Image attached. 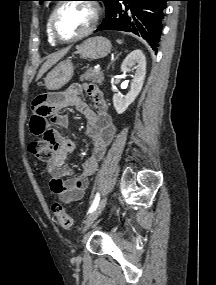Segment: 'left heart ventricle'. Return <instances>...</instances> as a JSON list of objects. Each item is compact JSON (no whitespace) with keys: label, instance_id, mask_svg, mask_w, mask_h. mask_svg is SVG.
Listing matches in <instances>:
<instances>
[{"label":"left heart ventricle","instance_id":"1","mask_svg":"<svg viewBox=\"0 0 216 285\" xmlns=\"http://www.w3.org/2000/svg\"><path fill=\"white\" fill-rule=\"evenodd\" d=\"M93 20V10L85 3H69L58 13L56 31L63 38H70L84 32Z\"/></svg>","mask_w":216,"mask_h":285}]
</instances>
